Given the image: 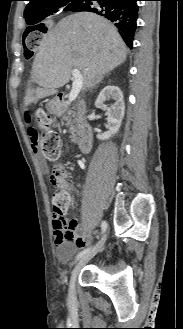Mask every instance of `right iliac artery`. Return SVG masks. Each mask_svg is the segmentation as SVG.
<instances>
[{"label":"right iliac artery","mask_w":183,"mask_h":329,"mask_svg":"<svg viewBox=\"0 0 183 329\" xmlns=\"http://www.w3.org/2000/svg\"><path fill=\"white\" fill-rule=\"evenodd\" d=\"M101 229H102V233H104L107 229V223L105 221H102L101 223ZM90 250V248L85 249L84 251L80 252L77 256V259L81 258L85 253H87Z\"/></svg>","instance_id":"right-iliac-artery-1"}]
</instances>
